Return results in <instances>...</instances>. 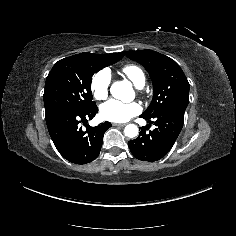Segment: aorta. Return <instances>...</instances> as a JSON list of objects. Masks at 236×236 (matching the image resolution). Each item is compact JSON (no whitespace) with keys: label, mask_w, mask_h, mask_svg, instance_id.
Masks as SVG:
<instances>
[{"label":"aorta","mask_w":236,"mask_h":236,"mask_svg":"<svg viewBox=\"0 0 236 236\" xmlns=\"http://www.w3.org/2000/svg\"><path fill=\"white\" fill-rule=\"evenodd\" d=\"M120 82L115 83L112 86V93L114 91V88L119 85ZM124 133L127 137L133 138L138 135V127L135 124H128L124 128Z\"/></svg>","instance_id":"aorta-1"}]
</instances>
